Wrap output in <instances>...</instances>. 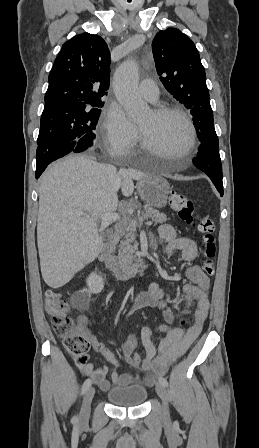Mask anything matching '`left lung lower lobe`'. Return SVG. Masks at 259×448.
Here are the masks:
<instances>
[{
  "label": "left lung lower lobe",
  "mask_w": 259,
  "mask_h": 448,
  "mask_svg": "<svg viewBox=\"0 0 259 448\" xmlns=\"http://www.w3.org/2000/svg\"><path fill=\"white\" fill-rule=\"evenodd\" d=\"M193 163L210 177L220 195L223 196L222 164L218 138L201 142Z\"/></svg>",
  "instance_id": "1"
}]
</instances>
